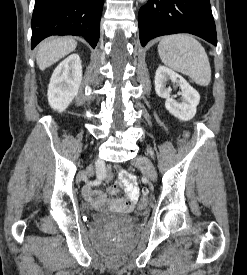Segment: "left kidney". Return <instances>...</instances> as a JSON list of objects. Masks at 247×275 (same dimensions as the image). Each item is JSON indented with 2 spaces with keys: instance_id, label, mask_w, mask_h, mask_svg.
<instances>
[{
  "instance_id": "1",
  "label": "left kidney",
  "mask_w": 247,
  "mask_h": 275,
  "mask_svg": "<svg viewBox=\"0 0 247 275\" xmlns=\"http://www.w3.org/2000/svg\"><path fill=\"white\" fill-rule=\"evenodd\" d=\"M168 81L180 87L178 95H181V101H176L170 96L171 88L167 87ZM154 83L156 94L166 99L165 108L169 113L182 121L191 120L195 116L200 95L181 75L165 66H159Z\"/></svg>"
}]
</instances>
